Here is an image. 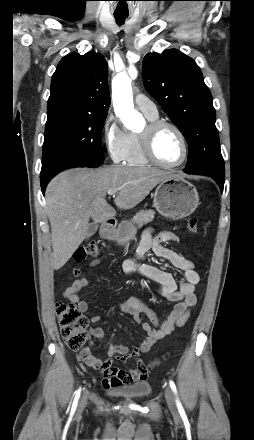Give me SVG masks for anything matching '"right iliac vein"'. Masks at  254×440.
Returning <instances> with one entry per match:
<instances>
[{
	"mask_svg": "<svg viewBox=\"0 0 254 440\" xmlns=\"http://www.w3.org/2000/svg\"><path fill=\"white\" fill-rule=\"evenodd\" d=\"M86 405H87V397L84 395L79 402L78 412H82L83 409L86 407Z\"/></svg>",
	"mask_w": 254,
	"mask_h": 440,
	"instance_id": "63e3f726",
	"label": "right iliac vein"
}]
</instances>
